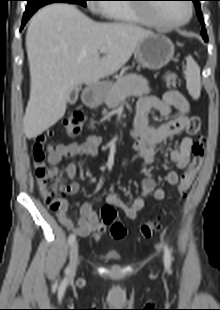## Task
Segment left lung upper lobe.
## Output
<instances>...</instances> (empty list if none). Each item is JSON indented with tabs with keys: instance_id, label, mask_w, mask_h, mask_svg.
Masks as SVG:
<instances>
[{
	"instance_id": "left-lung-upper-lobe-1",
	"label": "left lung upper lobe",
	"mask_w": 220,
	"mask_h": 310,
	"mask_svg": "<svg viewBox=\"0 0 220 310\" xmlns=\"http://www.w3.org/2000/svg\"><path fill=\"white\" fill-rule=\"evenodd\" d=\"M192 1L195 3L196 10H197V15H198L199 19L201 20L202 23H204L203 17H202V13H201V9H200V4H199L200 0H192ZM201 34H202L204 39L207 38L206 30H205L204 27H202Z\"/></svg>"
}]
</instances>
